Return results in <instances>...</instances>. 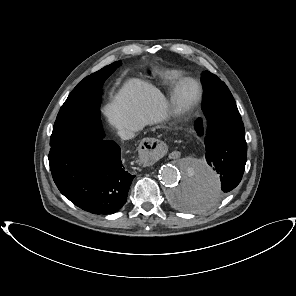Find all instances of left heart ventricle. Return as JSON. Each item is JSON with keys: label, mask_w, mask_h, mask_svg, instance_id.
I'll return each instance as SVG.
<instances>
[{"label": "left heart ventricle", "mask_w": 296, "mask_h": 296, "mask_svg": "<svg viewBox=\"0 0 296 296\" xmlns=\"http://www.w3.org/2000/svg\"><path fill=\"white\" fill-rule=\"evenodd\" d=\"M193 91H194V88H193L192 85L186 86V88H185V93L186 94H191Z\"/></svg>", "instance_id": "left-heart-ventricle-1"}]
</instances>
